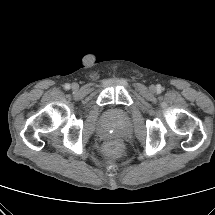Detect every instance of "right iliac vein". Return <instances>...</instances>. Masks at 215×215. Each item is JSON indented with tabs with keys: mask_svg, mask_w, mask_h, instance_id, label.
Wrapping results in <instances>:
<instances>
[{
	"mask_svg": "<svg viewBox=\"0 0 215 215\" xmlns=\"http://www.w3.org/2000/svg\"><path fill=\"white\" fill-rule=\"evenodd\" d=\"M71 88H72L73 90H78L79 85H78L77 83H73L72 86H71Z\"/></svg>",
	"mask_w": 215,
	"mask_h": 215,
	"instance_id": "63e3f726",
	"label": "right iliac vein"
}]
</instances>
